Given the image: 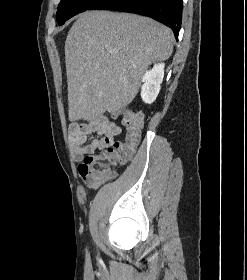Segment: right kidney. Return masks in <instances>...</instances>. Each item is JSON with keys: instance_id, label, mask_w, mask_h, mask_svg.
I'll list each match as a JSON object with an SVG mask.
<instances>
[{"instance_id": "right-kidney-1", "label": "right kidney", "mask_w": 247, "mask_h": 280, "mask_svg": "<svg viewBox=\"0 0 247 280\" xmlns=\"http://www.w3.org/2000/svg\"><path fill=\"white\" fill-rule=\"evenodd\" d=\"M164 77V63L155 64L150 71H146L142 81L141 97L142 100L151 104L155 101L160 91V85Z\"/></svg>"}]
</instances>
